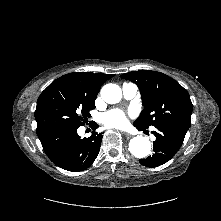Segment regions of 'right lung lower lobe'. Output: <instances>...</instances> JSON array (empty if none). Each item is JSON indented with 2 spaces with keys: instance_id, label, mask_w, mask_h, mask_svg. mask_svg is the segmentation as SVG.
<instances>
[{
  "instance_id": "obj_1",
  "label": "right lung lower lobe",
  "mask_w": 221,
  "mask_h": 221,
  "mask_svg": "<svg viewBox=\"0 0 221 221\" xmlns=\"http://www.w3.org/2000/svg\"><path fill=\"white\" fill-rule=\"evenodd\" d=\"M95 123L93 130L97 129ZM78 128H63L39 137L49 159L68 171H83L96 159L102 141V134L93 131L88 138L77 134Z\"/></svg>"
}]
</instances>
